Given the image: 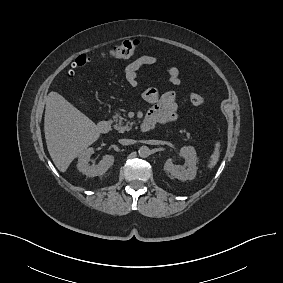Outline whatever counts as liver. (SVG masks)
<instances>
[{"label":"liver","instance_id":"liver-1","mask_svg":"<svg viewBox=\"0 0 283 283\" xmlns=\"http://www.w3.org/2000/svg\"><path fill=\"white\" fill-rule=\"evenodd\" d=\"M44 132L48 152L61 172L100 136L90 118L53 91L46 100Z\"/></svg>","mask_w":283,"mask_h":283}]
</instances>
